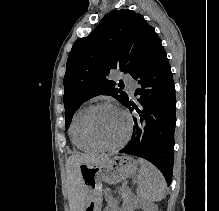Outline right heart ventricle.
<instances>
[{"label":"right heart ventricle","instance_id":"1","mask_svg":"<svg viewBox=\"0 0 219 211\" xmlns=\"http://www.w3.org/2000/svg\"><path fill=\"white\" fill-rule=\"evenodd\" d=\"M88 108V106H81L74 112L71 118L69 134L72 143L77 148L85 152L95 153L100 149L87 139L83 128V121Z\"/></svg>","mask_w":219,"mask_h":211}]
</instances>
